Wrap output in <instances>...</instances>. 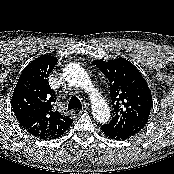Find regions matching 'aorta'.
Wrapping results in <instances>:
<instances>
[{
    "label": "aorta",
    "instance_id": "obj_1",
    "mask_svg": "<svg viewBox=\"0 0 174 174\" xmlns=\"http://www.w3.org/2000/svg\"><path fill=\"white\" fill-rule=\"evenodd\" d=\"M63 76L70 84L83 87L90 92L94 117L98 122L106 123L110 119V109L105 100L93 87L88 73L80 65L70 63L65 66Z\"/></svg>",
    "mask_w": 174,
    "mask_h": 174
}]
</instances>
